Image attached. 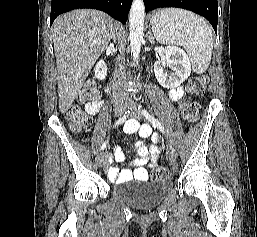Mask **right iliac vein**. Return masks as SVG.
<instances>
[{"instance_id": "obj_1", "label": "right iliac vein", "mask_w": 257, "mask_h": 237, "mask_svg": "<svg viewBox=\"0 0 257 237\" xmlns=\"http://www.w3.org/2000/svg\"><path fill=\"white\" fill-rule=\"evenodd\" d=\"M124 109H125L124 107H117L115 109V114L118 116L122 115L124 112ZM106 161H107V156H106L105 152H103L99 156V166L103 167L105 165Z\"/></svg>"}]
</instances>
